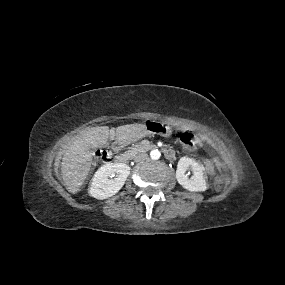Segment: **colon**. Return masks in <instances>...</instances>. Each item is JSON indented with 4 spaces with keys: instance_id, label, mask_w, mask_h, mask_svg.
I'll return each instance as SVG.
<instances>
[{
    "instance_id": "colon-1",
    "label": "colon",
    "mask_w": 285,
    "mask_h": 285,
    "mask_svg": "<svg viewBox=\"0 0 285 285\" xmlns=\"http://www.w3.org/2000/svg\"><path fill=\"white\" fill-rule=\"evenodd\" d=\"M180 140L183 142L184 146L187 148H196L199 146L200 141L198 138L194 137L187 131H183L179 135ZM100 160L107 161L108 157L104 156V152L99 153ZM229 183V176L227 174H219L214 179V187L217 190L222 189Z\"/></svg>"
}]
</instances>
